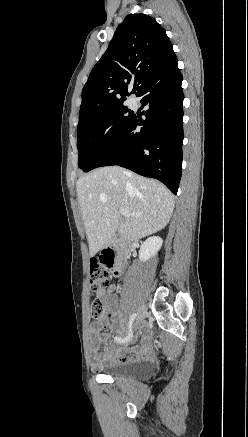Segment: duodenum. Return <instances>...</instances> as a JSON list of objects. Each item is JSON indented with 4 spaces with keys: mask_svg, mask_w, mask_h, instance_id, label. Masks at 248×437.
Listing matches in <instances>:
<instances>
[{
    "mask_svg": "<svg viewBox=\"0 0 248 437\" xmlns=\"http://www.w3.org/2000/svg\"><path fill=\"white\" fill-rule=\"evenodd\" d=\"M129 248L124 240H120L113 245L97 250V255L107 257L112 264L122 261L128 254Z\"/></svg>",
    "mask_w": 248,
    "mask_h": 437,
    "instance_id": "1",
    "label": "duodenum"
}]
</instances>
